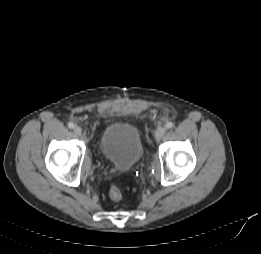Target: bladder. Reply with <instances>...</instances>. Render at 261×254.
Masks as SVG:
<instances>
[{
  "label": "bladder",
  "mask_w": 261,
  "mask_h": 254,
  "mask_svg": "<svg viewBox=\"0 0 261 254\" xmlns=\"http://www.w3.org/2000/svg\"><path fill=\"white\" fill-rule=\"evenodd\" d=\"M99 148L102 156L120 170L132 168L143 155L138 128L126 122H116L106 127Z\"/></svg>",
  "instance_id": "1"
}]
</instances>
